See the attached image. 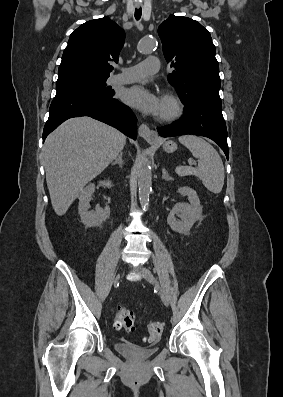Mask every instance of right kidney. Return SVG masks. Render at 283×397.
Instances as JSON below:
<instances>
[{
	"label": "right kidney",
	"mask_w": 283,
	"mask_h": 397,
	"mask_svg": "<svg viewBox=\"0 0 283 397\" xmlns=\"http://www.w3.org/2000/svg\"><path fill=\"white\" fill-rule=\"evenodd\" d=\"M101 184L111 188L112 182L110 180L101 181ZM95 191V185L89 184L84 188L79 196V214L82 223L86 227H97L100 226L110 215V207L106 205L105 208L97 207L96 211H88L90 207L91 196Z\"/></svg>",
	"instance_id": "1"
}]
</instances>
